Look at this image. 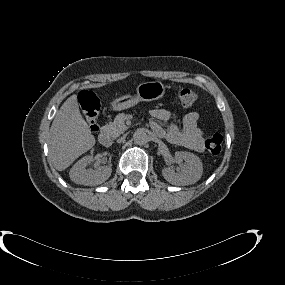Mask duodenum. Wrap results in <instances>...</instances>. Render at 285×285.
Here are the masks:
<instances>
[{"label":"duodenum","mask_w":285,"mask_h":285,"mask_svg":"<svg viewBox=\"0 0 285 285\" xmlns=\"http://www.w3.org/2000/svg\"><path fill=\"white\" fill-rule=\"evenodd\" d=\"M98 139L99 142L104 146H109L111 144L110 134L107 131H101Z\"/></svg>","instance_id":"duodenum-1"}]
</instances>
